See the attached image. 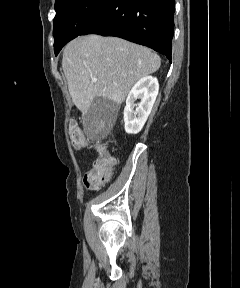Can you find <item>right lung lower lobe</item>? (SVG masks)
<instances>
[{
    "label": "right lung lower lobe",
    "instance_id": "obj_1",
    "mask_svg": "<svg viewBox=\"0 0 240 288\" xmlns=\"http://www.w3.org/2000/svg\"><path fill=\"white\" fill-rule=\"evenodd\" d=\"M175 0H112L80 33L116 36L171 59Z\"/></svg>",
    "mask_w": 240,
    "mask_h": 288
}]
</instances>
